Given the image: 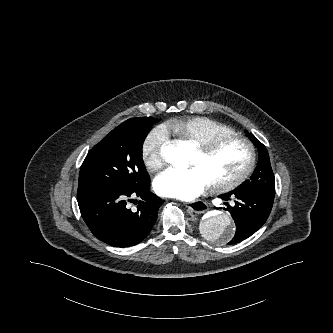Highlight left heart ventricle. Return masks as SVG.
Here are the masks:
<instances>
[{"label": "left heart ventricle", "instance_id": "obj_1", "mask_svg": "<svg viewBox=\"0 0 333 333\" xmlns=\"http://www.w3.org/2000/svg\"><path fill=\"white\" fill-rule=\"evenodd\" d=\"M247 161L248 151L245 145L229 142L209 156L196 150L190 165L201 167L212 183L234 177L244 169Z\"/></svg>", "mask_w": 333, "mask_h": 333}]
</instances>
